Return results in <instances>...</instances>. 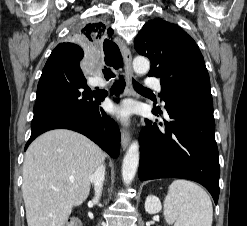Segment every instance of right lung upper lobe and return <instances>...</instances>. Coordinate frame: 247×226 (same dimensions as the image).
Returning a JSON list of instances; mask_svg holds the SVG:
<instances>
[{
    "label": "right lung upper lobe",
    "instance_id": "right-lung-upper-lobe-1",
    "mask_svg": "<svg viewBox=\"0 0 247 226\" xmlns=\"http://www.w3.org/2000/svg\"><path fill=\"white\" fill-rule=\"evenodd\" d=\"M113 31L102 22H92L86 24L78 33L76 37L83 43L88 45H103L105 53V63L115 69L123 66L122 57L118 46L110 40Z\"/></svg>",
    "mask_w": 247,
    "mask_h": 226
}]
</instances>
